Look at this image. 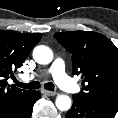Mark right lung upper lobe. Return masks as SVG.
Returning <instances> with one entry per match:
<instances>
[{
	"label": "right lung upper lobe",
	"instance_id": "1",
	"mask_svg": "<svg viewBox=\"0 0 118 118\" xmlns=\"http://www.w3.org/2000/svg\"><path fill=\"white\" fill-rule=\"evenodd\" d=\"M41 33H20L0 30V118H12L24 110L36 91L21 90L7 79L21 67L30 51L41 40Z\"/></svg>",
	"mask_w": 118,
	"mask_h": 118
}]
</instances>
